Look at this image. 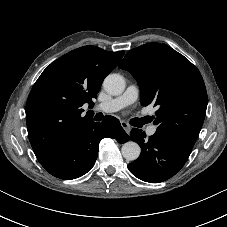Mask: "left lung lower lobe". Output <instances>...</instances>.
<instances>
[{"mask_svg": "<svg viewBox=\"0 0 227 227\" xmlns=\"http://www.w3.org/2000/svg\"><path fill=\"white\" fill-rule=\"evenodd\" d=\"M130 139L140 145L141 154L137 160L128 164V169L140 180L150 183L163 182L174 176L192 151L159 131L147 139L145 132L133 128Z\"/></svg>", "mask_w": 227, "mask_h": 227, "instance_id": "left-lung-lower-lobe-1", "label": "left lung lower lobe"}]
</instances>
